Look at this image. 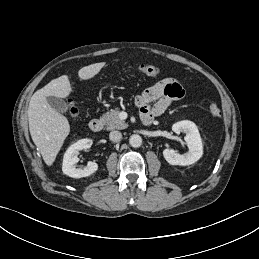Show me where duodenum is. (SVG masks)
Wrapping results in <instances>:
<instances>
[{
  "label": "duodenum",
  "instance_id": "obj_1",
  "mask_svg": "<svg viewBox=\"0 0 259 259\" xmlns=\"http://www.w3.org/2000/svg\"><path fill=\"white\" fill-rule=\"evenodd\" d=\"M144 123H150L152 119L149 118H142ZM103 128V121L99 118L92 119L90 122V129L93 132H99Z\"/></svg>",
  "mask_w": 259,
  "mask_h": 259
}]
</instances>
